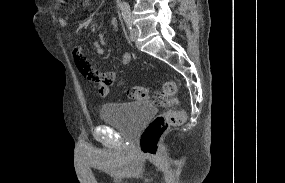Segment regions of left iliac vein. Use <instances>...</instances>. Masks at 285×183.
Listing matches in <instances>:
<instances>
[{
  "label": "left iliac vein",
  "mask_w": 285,
  "mask_h": 183,
  "mask_svg": "<svg viewBox=\"0 0 285 183\" xmlns=\"http://www.w3.org/2000/svg\"><path fill=\"white\" fill-rule=\"evenodd\" d=\"M129 37L131 41H136L138 38V30L135 28L131 29Z\"/></svg>",
  "instance_id": "obj_1"
}]
</instances>
